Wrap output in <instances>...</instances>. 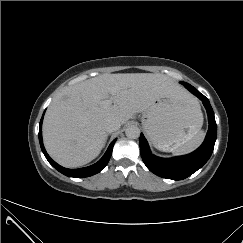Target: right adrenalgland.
Here are the masks:
<instances>
[{"label": "right adrenal gland", "mask_w": 243, "mask_h": 243, "mask_svg": "<svg viewBox=\"0 0 243 243\" xmlns=\"http://www.w3.org/2000/svg\"><path fill=\"white\" fill-rule=\"evenodd\" d=\"M109 135H110V133H107L106 134V140H105V142L107 141V138H108Z\"/></svg>", "instance_id": "obj_1"}]
</instances>
